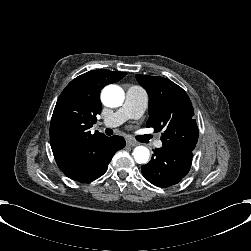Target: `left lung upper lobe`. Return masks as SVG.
<instances>
[{"label": "left lung upper lobe", "instance_id": "obj_1", "mask_svg": "<svg viewBox=\"0 0 251 251\" xmlns=\"http://www.w3.org/2000/svg\"><path fill=\"white\" fill-rule=\"evenodd\" d=\"M136 79L150 99L146 126L162 132L163 147L193 152L199 131L187 93L167 78L136 75Z\"/></svg>", "mask_w": 251, "mask_h": 251}]
</instances>
